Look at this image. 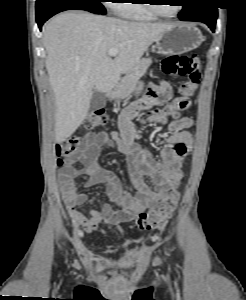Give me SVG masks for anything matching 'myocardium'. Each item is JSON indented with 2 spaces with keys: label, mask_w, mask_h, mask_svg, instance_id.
Instances as JSON below:
<instances>
[{
  "label": "myocardium",
  "mask_w": 246,
  "mask_h": 300,
  "mask_svg": "<svg viewBox=\"0 0 246 300\" xmlns=\"http://www.w3.org/2000/svg\"><path fill=\"white\" fill-rule=\"evenodd\" d=\"M149 3H148V7L149 9L158 17H161V18H174L176 16H178L180 14V12L182 11L183 9V6L179 5L178 6V9L173 13V14H165L163 13L160 8H159V5L156 3L155 0H147Z\"/></svg>",
  "instance_id": "obj_1"
}]
</instances>
